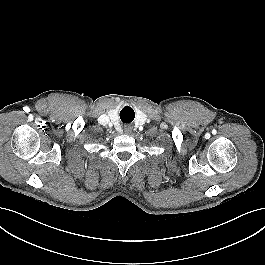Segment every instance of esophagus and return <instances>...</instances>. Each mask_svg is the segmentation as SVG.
Wrapping results in <instances>:
<instances>
[{"mask_svg": "<svg viewBox=\"0 0 265 265\" xmlns=\"http://www.w3.org/2000/svg\"><path fill=\"white\" fill-rule=\"evenodd\" d=\"M130 131H131V130L125 129V132H126V133H129Z\"/></svg>", "mask_w": 265, "mask_h": 265, "instance_id": "1", "label": "esophagus"}]
</instances>
